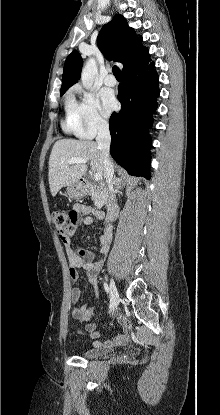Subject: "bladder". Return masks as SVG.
<instances>
[{
  "mask_svg": "<svg viewBox=\"0 0 220 415\" xmlns=\"http://www.w3.org/2000/svg\"><path fill=\"white\" fill-rule=\"evenodd\" d=\"M106 353V349L103 347H98L92 345L88 349L84 350L82 355L86 358H98L100 356H103Z\"/></svg>",
  "mask_w": 220,
  "mask_h": 415,
  "instance_id": "31cf9c89",
  "label": "bladder"
}]
</instances>
